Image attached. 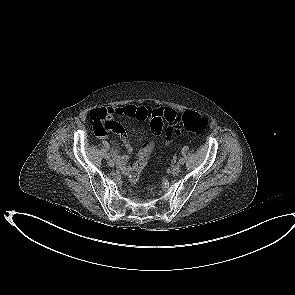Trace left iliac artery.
I'll return each instance as SVG.
<instances>
[{
    "mask_svg": "<svg viewBox=\"0 0 295 295\" xmlns=\"http://www.w3.org/2000/svg\"><path fill=\"white\" fill-rule=\"evenodd\" d=\"M179 163H180V164H183V163H184V158H180V159H179Z\"/></svg>",
    "mask_w": 295,
    "mask_h": 295,
    "instance_id": "obj_1",
    "label": "left iliac artery"
}]
</instances>
